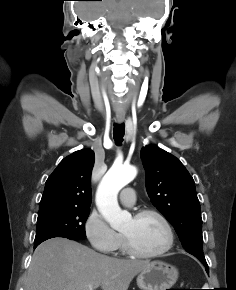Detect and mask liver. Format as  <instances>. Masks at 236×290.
<instances>
[{
  "label": "liver",
  "mask_w": 236,
  "mask_h": 290,
  "mask_svg": "<svg viewBox=\"0 0 236 290\" xmlns=\"http://www.w3.org/2000/svg\"><path fill=\"white\" fill-rule=\"evenodd\" d=\"M148 261L109 257L65 238H52L34 251L25 290H127Z\"/></svg>",
  "instance_id": "liver-1"
}]
</instances>
